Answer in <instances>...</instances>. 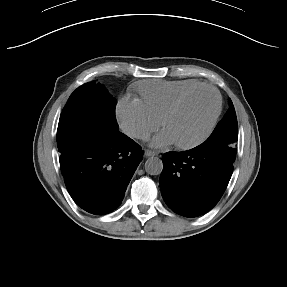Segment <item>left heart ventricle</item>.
<instances>
[{
    "mask_svg": "<svg viewBox=\"0 0 287 287\" xmlns=\"http://www.w3.org/2000/svg\"><path fill=\"white\" fill-rule=\"evenodd\" d=\"M215 107L214 94L209 90H200L191 95L167 121L165 130L173 137L175 143L193 141L207 128Z\"/></svg>",
    "mask_w": 287,
    "mask_h": 287,
    "instance_id": "1",
    "label": "left heart ventricle"
}]
</instances>
